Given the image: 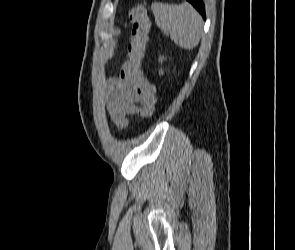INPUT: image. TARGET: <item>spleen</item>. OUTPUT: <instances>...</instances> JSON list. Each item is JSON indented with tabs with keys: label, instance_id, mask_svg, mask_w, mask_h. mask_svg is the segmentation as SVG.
<instances>
[{
	"label": "spleen",
	"instance_id": "1",
	"mask_svg": "<svg viewBox=\"0 0 295 250\" xmlns=\"http://www.w3.org/2000/svg\"><path fill=\"white\" fill-rule=\"evenodd\" d=\"M151 9L158 27L169 33L176 45L190 50L199 43L202 20L189 3L177 5L154 2Z\"/></svg>",
	"mask_w": 295,
	"mask_h": 250
}]
</instances>
